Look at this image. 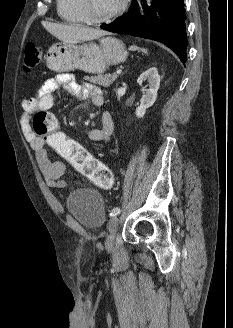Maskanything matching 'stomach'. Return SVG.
<instances>
[{
    "label": "stomach",
    "mask_w": 233,
    "mask_h": 328,
    "mask_svg": "<svg viewBox=\"0 0 233 328\" xmlns=\"http://www.w3.org/2000/svg\"><path fill=\"white\" fill-rule=\"evenodd\" d=\"M127 58L124 43L114 37H103L99 44L87 42L57 43L46 55L47 67L55 72L80 69L87 73L101 74L109 66L122 63Z\"/></svg>",
    "instance_id": "1"
}]
</instances>
